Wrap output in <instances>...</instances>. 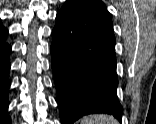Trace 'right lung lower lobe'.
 I'll return each mask as SVG.
<instances>
[{
    "mask_svg": "<svg viewBox=\"0 0 156 124\" xmlns=\"http://www.w3.org/2000/svg\"><path fill=\"white\" fill-rule=\"evenodd\" d=\"M8 34L2 25L0 26V124H11L8 116V89L9 82V54L11 46L5 39Z\"/></svg>",
    "mask_w": 156,
    "mask_h": 124,
    "instance_id": "right-lung-lower-lobe-1",
    "label": "right lung lower lobe"
}]
</instances>
